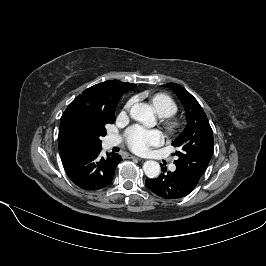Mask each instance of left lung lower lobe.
<instances>
[{
	"label": "left lung lower lobe",
	"instance_id": "left-lung-lower-lobe-1",
	"mask_svg": "<svg viewBox=\"0 0 266 266\" xmlns=\"http://www.w3.org/2000/svg\"><path fill=\"white\" fill-rule=\"evenodd\" d=\"M163 173L158 178L146 179V186L164 199H178L190 194L197 184L190 181L181 171Z\"/></svg>",
	"mask_w": 266,
	"mask_h": 266
}]
</instances>
